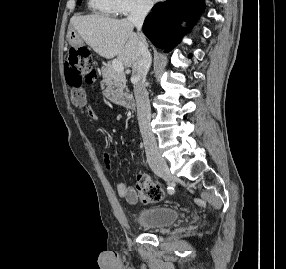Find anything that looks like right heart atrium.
<instances>
[{"label": "right heart atrium", "mask_w": 286, "mask_h": 269, "mask_svg": "<svg viewBox=\"0 0 286 269\" xmlns=\"http://www.w3.org/2000/svg\"><path fill=\"white\" fill-rule=\"evenodd\" d=\"M116 13L121 16L147 13L151 7V0H114Z\"/></svg>", "instance_id": "d8ad5b80"}]
</instances>
